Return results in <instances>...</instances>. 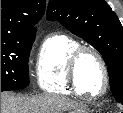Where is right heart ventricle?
<instances>
[{
  "label": "right heart ventricle",
  "instance_id": "obj_1",
  "mask_svg": "<svg viewBox=\"0 0 123 113\" xmlns=\"http://www.w3.org/2000/svg\"><path fill=\"white\" fill-rule=\"evenodd\" d=\"M79 46L78 41L61 32L51 33L43 40L36 61V80L41 90L80 95L68 74L69 59Z\"/></svg>",
  "mask_w": 123,
  "mask_h": 113
}]
</instances>
